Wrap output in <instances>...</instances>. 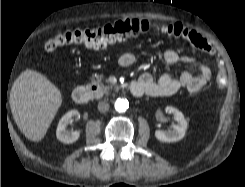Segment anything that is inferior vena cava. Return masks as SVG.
Instances as JSON below:
<instances>
[{
	"label": "inferior vena cava",
	"mask_w": 245,
	"mask_h": 187,
	"mask_svg": "<svg viewBox=\"0 0 245 187\" xmlns=\"http://www.w3.org/2000/svg\"><path fill=\"white\" fill-rule=\"evenodd\" d=\"M98 110L102 113L109 110V104L106 101H101L98 103Z\"/></svg>",
	"instance_id": "1"
}]
</instances>
